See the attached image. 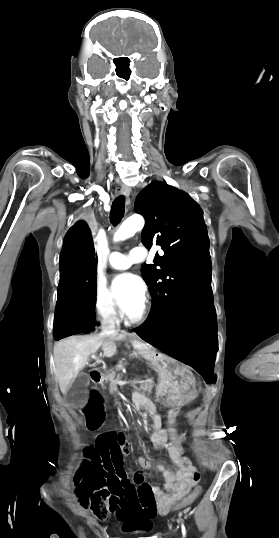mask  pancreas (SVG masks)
Here are the masks:
<instances>
[{
  "mask_svg": "<svg viewBox=\"0 0 279 538\" xmlns=\"http://www.w3.org/2000/svg\"><path fill=\"white\" fill-rule=\"evenodd\" d=\"M120 380L121 376H117V378H115V374H109L107 380V382H110L109 394H114L116 390V382H120ZM151 387V381H149L148 379H143L139 386L135 388V391H137L142 397H147L151 391H154V388Z\"/></svg>",
  "mask_w": 279,
  "mask_h": 538,
  "instance_id": "pancreas-1",
  "label": "pancreas"
}]
</instances>
